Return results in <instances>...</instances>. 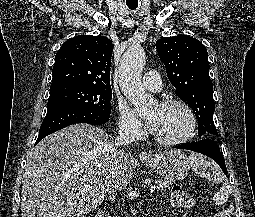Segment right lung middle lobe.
Here are the masks:
<instances>
[{
    "instance_id": "dd1d6c3e",
    "label": "right lung middle lobe",
    "mask_w": 255,
    "mask_h": 217,
    "mask_svg": "<svg viewBox=\"0 0 255 217\" xmlns=\"http://www.w3.org/2000/svg\"><path fill=\"white\" fill-rule=\"evenodd\" d=\"M111 99V88L63 84L50 87L48 107L69 105L100 116L109 117L111 114Z\"/></svg>"
}]
</instances>
